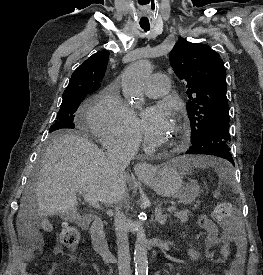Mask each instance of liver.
<instances>
[{
    "mask_svg": "<svg viewBox=\"0 0 263 275\" xmlns=\"http://www.w3.org/2000/svg\"><path fill=\"white\" fill-rule=\"evenodd\" d=\"M78 191L104 204H113L127 195L126 183L114 177L102 150L77 134H61L46 148L37 183L24 191L17 215L18 228L25 220L47 216L76 219Z\"/></svg>",
    "mask_w": 263,
    "mask_h": 275,
    "instance_id": "liver-1",
    "label": "liver"
}]
</instances>
